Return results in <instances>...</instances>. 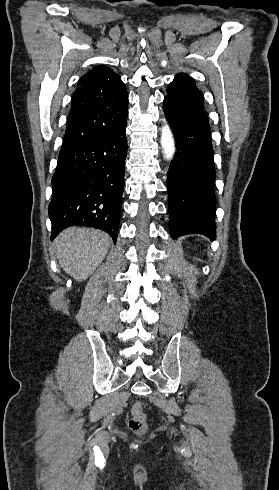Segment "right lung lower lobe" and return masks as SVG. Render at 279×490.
I'll return each instance as SVG.
<instances>
[{
	"label": "right lung lower lobe",
	"mask_w": 279,
	"mask_h": 490,
	"mask_svg": "<svg viewBox=\"0 0 279 490\" xmlns=\"http://www.w3.org/2000/svg\"><path fill=\"white\" fill-rule=\"evenodd\" d=\"M126 125L60 150L48 208L51 240L65 228L78 225L106 231L116 243L127 154Z\"/></svg>",
	"instance_id": "right-lung-lower-lobe-1"
}]
</instances>
